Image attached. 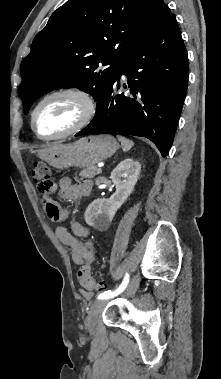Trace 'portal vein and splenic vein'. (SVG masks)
Instances as JSON below:
<instances>
[{"label":"portal vein and splenic vein","instance_id":"1","mask_svg":"<svg viewBox=\"0 0 221 379\" xmlns=\"http://www.w3.org/2000/svg\"><path fill=\"white\" fill-rule=\"evenodd\" d=\"M97 173H98V174H101V173H102V169H101V168H98V169H97Z\"/></svg>","mask_w":221,"mask_h":379}]
</instances>
